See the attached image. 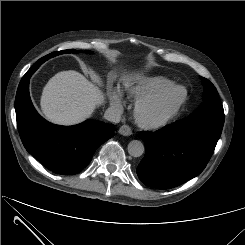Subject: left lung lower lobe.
<instances>
[{"mask_svg":"<svg viewBox=\"0 0 245 245\" xmlns=\"http://www.w3.org/2000/svg\"><path fill=\"white\" fill-rule=\"evenodd\" d=\"M223 124L208 119L178 120L155 132L142 131L146 154L139 179L158 189L177 187L199 175L209 162Z\"/></svg>","mask_w":245,"mask_h":245,"instance_id":"left-lung-lower-lobe-1","label":"left lung lower lobe"}]
</instances>
